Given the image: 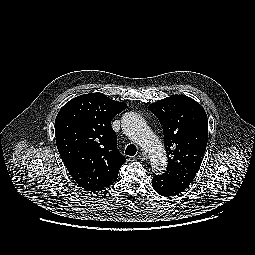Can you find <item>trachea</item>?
<instances>
[{
  "mask_svg": "<svg viewBox=\"0 0 255 255\" xmlns=\"http://www.w3.org/2000/svg\"><path fill=\"white\" fill-rule=\"evenodd\" d=\"M136 152H137V148L133 144L128 145L125 150V154L129 155V156H134L136 154Z\"/></svg>",
  "mask_w": 255,
  "mask_h": 255,
  "instance_id": "3493384b",
  "label": "trachea"
}]
</instances>
